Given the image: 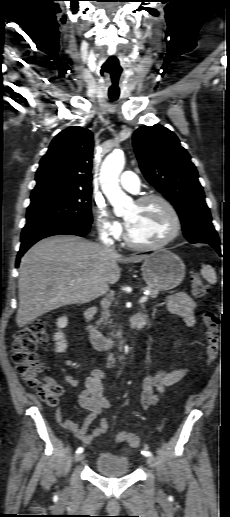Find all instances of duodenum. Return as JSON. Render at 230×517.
I'll return each instance as SVG.
<instances>
[{
    "label": "duodenum",
    "mask_w": 230,
    "mask_h": 517,
    "mask_svg": "<svg viewBox=\"0 0 230 517\" xmlns=\"http://www.w3.org/2000/svg\"><path fill=\"white\" fill-rule=\"evenodd\" d=\"M97 313V307L91 306L84 313L85 328L90 336L93 346L99 351H109L118 343V339L105 336L93 324V318ZM147 322V316L144 313H138L130 320V328L132 331L141 330Z\"/></svg>",
    "instance_id": "duodenum-1"
}]
</instances>
